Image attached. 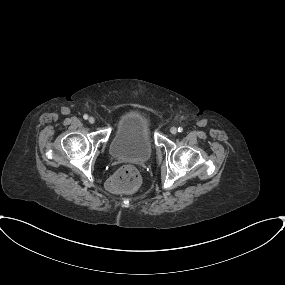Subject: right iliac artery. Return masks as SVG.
Here are the masks:
<instances>
[{
  "label": "right iliac artery",
  "instance_id": "obj_1",
  "mask_svg": "<svg viewBox=\"0 0 285 285\" xmlns=\"http://www.w3.org/2000/svg\"><path fill=\"white\" fill-rule=\"evenodd\" d=\"M83 118H84L85 120H87V119H88V115L85 114V115L83 116Z\"/></svg>",
  "mask_w": 285,
  "mask_h": 285
}]
</instances>
